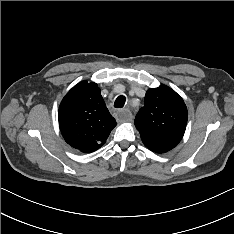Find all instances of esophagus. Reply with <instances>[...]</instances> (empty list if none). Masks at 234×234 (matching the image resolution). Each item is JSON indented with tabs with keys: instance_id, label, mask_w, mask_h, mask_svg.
I'll list each match as a JSON object with an SVG mask.
<instances>
[{
	"instance_id": "obj_1",
	"label": "esophagus",
	"mask_w": 234,
	"mask_h": 234,
	"mask_svg": "<svg viewBox=\"0 0 234 234\" xmlns=\"http://www.w3.org/2000/svg\"><path fill=\"white\" fill-rule=\"evenodd\" d=\"M118 116L123 121L130 122L132 120V113L128 109L118 111Z\"/></svg>"
}]
</instances>
